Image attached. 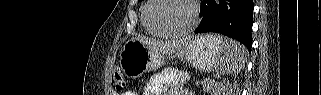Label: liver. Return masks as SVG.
<instances>
[{
	"mask_svg": "<svg viewBox=\"0 0 321 95\" xmlns=\"http://www.w3.org/2000/svg\"><path fill=\"white\" fill-rule=\"evenodd\" d=\"M135 39L146 45L149 49L161 53L163 55H170L181 50L186 40H173L161 42L158 40L150 39L144 36H136Z\"/></svg>",
	"mask_w": 321,
	"mask_h": 95,
	"instance_id": "1",
	"label": "liver"
}]
</instances>
